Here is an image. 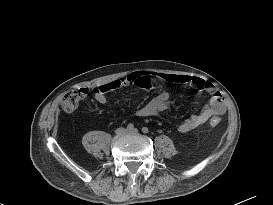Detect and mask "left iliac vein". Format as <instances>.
Instances as JSON below:
<instances>
[{
    "instance_id": "1",
    "label": "left iliac vein",
    "mask_w": 273,
    "mask_h": 205,
    "mask_svg": "<svg viewBox=\"0 0 273 205\" xmlns=\"http://www.w3.org/2000/svg\"><path fill=\"white\" fill-rule=\"evenodd\" d=\"M127 133L137 134L138 133V129L134 128L132 130H127Z\"/></svg>"
}]
</instances>
